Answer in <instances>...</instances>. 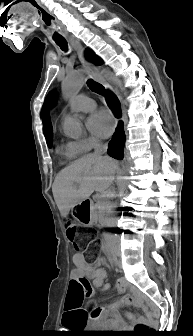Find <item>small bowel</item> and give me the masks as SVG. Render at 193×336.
I'll return each instance as SVG.
<instances>
[{
  "label": "small bowel",
  "instance_id": "obj_1",
  "mask_svg": "<svg viewBox=\"0 0 193 336\" xmlns=\"http://www.w3.org/2000/svg\"><path fill=\"white\" fill-rule=\"evenodd\" d=\"M73 264L74 269L71 271L66 309L62 318V324L66 327L78 322L86 323L89 321L83 295L86 284L91 282L93 286L101 288L103 293L110 288L109 285L105 284L106 271L100 267V261L89 263L82 254L76 253L73 256ZM127 288L126 280L119 278L116 282L117 292L123 293ZM133 302H144L142 296L135 289H131L130 293L124 295L119 301L106 306L107 312L111 315L110 319L102 314H97L91 320L95 323L119 325L118 309Z\"/></svg>",
  "mask_w": 193,
  "mask_h": 336
}]
</instances>
